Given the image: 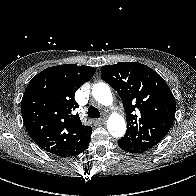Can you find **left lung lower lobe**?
<instances>
[{
	"label": "left lung lower lobe",
	"mask_w": 196,
	"mask_h": 196,
	"mask_svg": "<svg viewBox=\"0 0 196 196\" xmlns=\"http://www.w3.org/2000/svg\"><path fill=\"white\" fill-rule=\"evenodd\" d=\"M118 145L122 150L129 153H142L146 151V149L135 146L134 144L122 138L118 140Z\"/></svg>",
	"instance_id": "left-lung-lower-lobe-1"
}]
</instances>
